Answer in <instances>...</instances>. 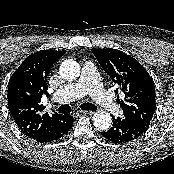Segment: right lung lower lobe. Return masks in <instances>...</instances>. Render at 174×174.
Wrapping results in <instances>:
<instances>
[{
    "label": "right lung lower lobe",
    "mask_w": 174,
    "mask_h": 174,
    "mask_svg": "<svg viewBox=\"0 0 174 174\" xmlns=\"http://www.w3.org/2000/svg\"><path fill=\"white\" fill-rule=\"evenodd\" d=\"M73 123V117L71 116L69 123H66L64 126L60 127L57 131H55L53 134L37 139L38 142H52L57 141L58 139L62 138L64 135L68 133L70 128L72 127Z\"/></svg>",
    "instance_id": "98d812e1"
}]
</instances>
